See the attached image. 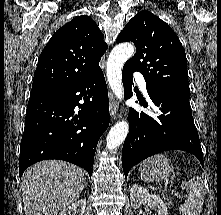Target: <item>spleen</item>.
<instances>
[{"label": "spleen", "instance_id": "obj_1", "mask_svg": "<svg viewBox=\"0 0 221 215\" xmlns=\"http://www.w3.org/2000/svg\"><path fill=\"white\" fill-rule=\"evenodd\" d=\"M181 188L186 189L188 196L185 202L179 206L180 215H199L204 202L203 181L200 177L194 176L187 182H183Z\"/></svg>", "mask_w": 221, "mask_h": 215}]
</instances>
